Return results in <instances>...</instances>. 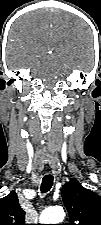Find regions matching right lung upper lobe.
<instances>
[{
  "instance_id": "right-lung-upper-lobe-1",
  "label": "right lung upper lobe",
  "mask_w": 101,
  "mask_h": 225,
  "mask_svg": "<svg viewBox=\"0 0 101 225\" xmlns=\"http://www.w3.org/2000/svg\"><path fill=\"white\" fill-rule=\"evenodd\" d=\"M25 212L19 205L16 192L0 199V225H26Z\"/></svg>"
}]
</instances>
